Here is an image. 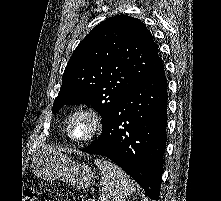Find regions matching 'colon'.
<instances>
[{
    "label": "colon",
    "mask_w": 221,
    "mask_h": 201,
    "mask_svg": "<svg viewBox=\"0 0 221 201\" xmlns=\"http://www.w3.org/2000/svg\"><path fill=\"white\" fill-rule=\"evenodd\" d=\"M37 197H38L37 191L32 187H28L24 191L22 201H36Z\"/></svg>",
    "instance_id": "obj_1"
}]
</instances>
